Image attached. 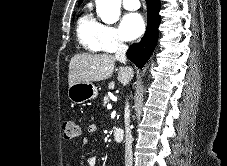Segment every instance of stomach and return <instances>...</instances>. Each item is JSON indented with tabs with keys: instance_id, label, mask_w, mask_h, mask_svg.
Wrapping results in <instances>:
<instances>
[{
	"instance_id": "obj_1",
	"label": "stomach",
	"mask_w": 227,
	"mask_h": 166,
	"mask_svg": "<svg viewBox=\"0 0 227 166\" xmlns=\"http://www.w3.org/2000/svg\"><path fill=\"white\" fill-rule=\"evenodd\" d=\"M97 95V87L92 83L79 82L68 88V99L75 104H81L95 99Z\"/></svg>"
}]
</instances>
